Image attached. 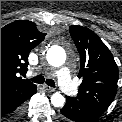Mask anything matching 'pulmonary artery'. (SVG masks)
Segmentation results:
<instances>
[{
	"label": "pulmonary artery",
	"mask_w": 122,
	"mask_h": 122,
	"mask_svg": "<svg viewBox=\"0 0 122 122\" xmlns=\"http://www.w3.org/2000/svg\"><path fill=\"white\" fill-rule=\"evenodd\" d=\"M56 76L58 78V83L61 89L66 94L73 96L77 93V88L71 80L70 71L67 67H62L59 70H57Z\"/></svg>",
	"instance_id": "e3ab8cb5"
}]
</instances>
